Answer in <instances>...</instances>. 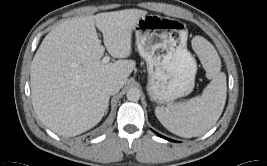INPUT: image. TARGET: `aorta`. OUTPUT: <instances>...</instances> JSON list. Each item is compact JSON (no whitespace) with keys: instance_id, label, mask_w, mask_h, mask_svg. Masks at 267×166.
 Segmentation results:
<instances>
[{"instance_id":"1","label":"aorta","mask_w":267,"mask_h":166,"mask_svg":"<svg viewBox=\"0 0 267 166\" xmlns=\"http://www.w3.org/2000/svg\"><path fill=\"white\" fill-rule=\"evenodd\" d=\"M127 99L129 101H138L140 96H141V93H140V90L138 88H130L127 92Z\"/></svg>"}]
</instances>
